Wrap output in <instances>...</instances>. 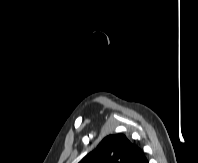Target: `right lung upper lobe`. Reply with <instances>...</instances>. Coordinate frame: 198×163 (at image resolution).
Listing matches in <instances>:
<instances>
[{"mask_svg": "<svg viewBox=\"0 0 198 163\" xmlns=\"http://www.w3.org/2000/svg\"><path fill=\"white\" fill-rule=\"evenodd\" d=\"M79 163H148L142 150L124 134L106 136Z\"/></svg>", "mask_w": 198, "mask_h": 163, "instance_id": "right-lung-upper-lobe-1", "label": "right lung upper lobe"}]
</instances>
